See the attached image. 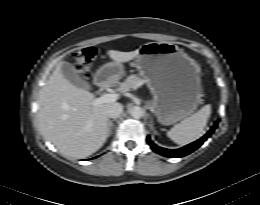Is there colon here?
I'll return each instance as SVG.
<instances>
[{"label": "colon", "mask_w": 260, "mask_h": 205, "mask_svg": "<svg viewBox=\"0 0 260 205\" xmlns=\"http://www.w3.org/2000/svg\"><path fill=\"white\" fill-rule=\"evenodd\" d=\"M96 55L97 50L94 46H89L78 51L75 54L77 71L80 74H86Z\"/></svg>", "instance_id": "obj_1"}]
</instances>
